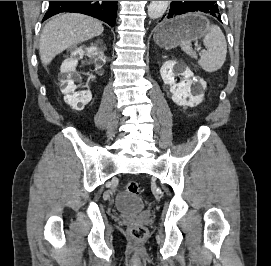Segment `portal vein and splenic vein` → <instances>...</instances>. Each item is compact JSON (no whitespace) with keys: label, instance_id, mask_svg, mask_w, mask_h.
Returning <instances> with one entry per match:
<instances>
[{"label":"portal vein and splenic vein","instance_id":"portal-vein-and-splenic-vein-1","mask_svg":"<svg viewBox=\"0 0 271 266\" xmlns=\"http://www.w3.org/2000/svg\"><path fill=\"white\" fill-rule=\"evenodd\" d=\"M199 50H200V47L197 46V51H199ZM202 52H205V51H202Z\"/></svg>","mask_w":271,"mask_h":266}]
</instances>
